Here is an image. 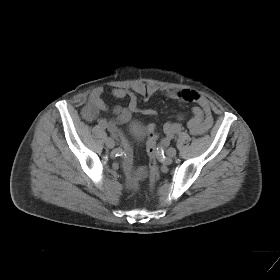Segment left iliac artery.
Here are the masks:
<instances>
[{
	"instance_id": "obj_1",
	"label": "left iliac artery",
	"mask_w": 280,
	"mask_h": 280,
	"mask_svg": "<svg viewBox=\"0 0 280 280\" xmlns=\"http://www.w3.org/2000/svg\"><path fill=\"white\" fill-rule=\"evenodd\" d=\"M182 130V126L178 123H174L171 125V135H178Z\"/></svg>"
}]
</instances>
